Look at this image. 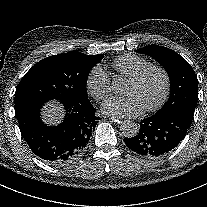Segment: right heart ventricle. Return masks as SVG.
<instances>
[{"label":"right heart ventricle","mask_w":207,"mask_h":207,"mask_svg":"<svg viewBox=\"0 0 207 207\" xmlns=\"http://www.w3.org/2000/svg\"><path fill=\"white\" fill-rule=\"evenodd\" d=\"M150 65L149 60L132 54L121 56L114 62V67L119 75L128 79Z\"/></svg>","instance_id":"obj_1"}]
</instances>
